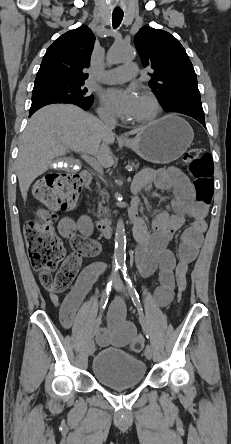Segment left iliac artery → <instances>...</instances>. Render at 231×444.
<instances>
[{
    "label": "left iliac artery",
    "instance_id": "44dca946",
    "mask_svg": "<svg viewBox=\"0 0 231 444\" xmlns=\"http://www.w3.org/2000/svg\"><path fill=\"white\" fill-rule=\"evenodd\" d=\"M122 271H123L124 279L126 281V285H127L129 294H130V296L132 298V301H133L134 305L138 308L139 315H140L139 320H140L141 326H142L143 331H144V333L146 335V338L149 339V331H148V327H147V322H146L145 316H144V314L142 312L143 309L141 307V303H140V299H139V294L137 293V291H136V289H135V287H134L130 277L127 275L126 268L124 267Z\"/></svg>",
    "mask_w": 231,
    "mask_h": 444
}]
</instances>
